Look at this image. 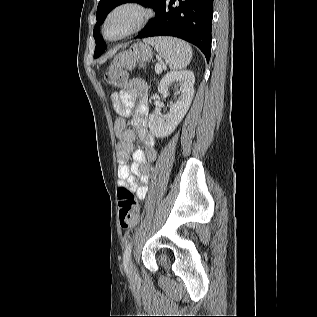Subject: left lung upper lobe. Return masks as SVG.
I'll list each match as a JSON object with an SVG mask.
<instances>
[{"mask_svg":"<svg viewBox=\"0 0 317 317\" xmlns=\"http://www.w3.org/2000/svg\"><path fill=\"white\" fill-rule=\"evenodd\" d=\"M161 1L162 0H101L98 4V7H97V13H96L97 23H96L95 29L93 31L94 39L96 42L94 57L97 58L105 50L106 45L99 34L98 26L104 22L107 14L113 8H115L116 6H118L122 3H125V2H136V3H139L141 5L151 7L157 12V10L161 4ZM149 23L146 25L145 29L148 27Z\"/></svg>","mask_w":317,"mask_h":317,"instance_id":"left-lung-upper-lobe-1","label":"left lung upper lobe"}]
</instances>
